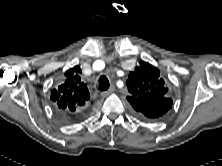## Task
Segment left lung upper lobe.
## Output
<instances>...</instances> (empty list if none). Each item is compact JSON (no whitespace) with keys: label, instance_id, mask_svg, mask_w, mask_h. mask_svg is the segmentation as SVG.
<instances>
[{"label":"left lung upper lobe","instance_id":"1","mask_svg":"<svg viewBox=\"0 0 222 166\" xmlns=\"http://www.w3.org/2000/svg\"><path fill=\"white\" fill-rule=\"evenodd\" d=\"M126 84L130 93L127 99L140 116L155 119L160 116L155 112L163 113L162 101L168 98V88L157 68L141 62L135 71L129 73Z\"/></svg>","mask_w":222,"mask_h":166}]
</instances>
